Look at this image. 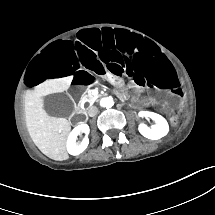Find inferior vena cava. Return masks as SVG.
<instances>
[{
    "label": "inferior vena cava",
    "instance_id": "602c4592",
    "mask_svg": "<svg viewBox=\"0 0 215 215\" xmlns=\"http://www.w3.org/2000/svg\"><path fill=\"white\" fill-rule=\"evenodd\" d=\"M87 113L90 117H94L98 113V108L96 106H90L87 109Z\"/></svg>",
    "mask_w": 215,
    "mask_h": 215
}]
</instances>
